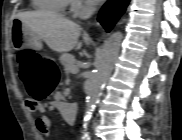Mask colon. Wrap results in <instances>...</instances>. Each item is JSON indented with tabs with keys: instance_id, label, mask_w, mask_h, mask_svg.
I'll return each mask as SVG.
<instances>
[{
	"instance_id": "1",
	"label": "colon",
	"mask_w": 182,
	"mask_h": 140,
	"mask_svg": "<svg viewBox=\"0 0 182 140\" xmlns=\"http://www.w3.org/2000/svg\"><path fill=\"white\" fill-rule=\"evenodd\" d=\"M19 74L30 99L40 102L54 89L58 80V69L51 60L43 58L32 50H24L18 55Z\"/></svg>"
}]
</instances>
